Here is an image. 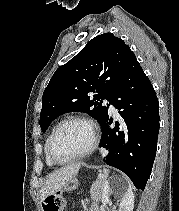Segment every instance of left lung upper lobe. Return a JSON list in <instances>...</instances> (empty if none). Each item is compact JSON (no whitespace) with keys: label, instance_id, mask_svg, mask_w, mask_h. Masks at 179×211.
I'll return each mask as SVG.
<instances>
[{"label":"left lung upper lobe","instance_id":"5c2ea615","mask_svg":"<svg viewBox=\"0 0 179 211\" xmlns=\"http://www.w3.org/2000/svg\"><path fill=\"white\" fill-rule=\"evenodd\" d=\"M134 55L128 45L112 33L98 35L52 76L42 97L40 127L43 132L51 122L67 112H87L100 125L108 116L113 90ZM94 93L93 98L90 94Z\"/></svg>","mask_w":179,"mask_h":211}]
</instances>
